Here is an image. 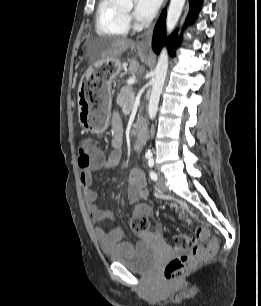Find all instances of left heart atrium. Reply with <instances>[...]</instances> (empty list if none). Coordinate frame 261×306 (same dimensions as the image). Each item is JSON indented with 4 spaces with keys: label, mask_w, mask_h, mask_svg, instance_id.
Listing matches in <instances>:
<instances>
[{
    "label": "left heart atrium",
    "mask_w": 261,
    "mask_h": 306,
    "mask_svg": "<svg viewBox=\"0 0 261 306\" xmlns=\"http://www.w3.org/2000/svg\"><path fill=\"white\" fill-rule=\"evenodd\" d=\"M161 0H135L133 15L137 20L147 21L156 14Z\"/></svg>",
    "instance_id": "obj_1"
}]
</instances>
